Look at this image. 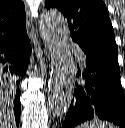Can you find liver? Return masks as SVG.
I'll return each instance as SVG.
<instances>
[{"label":"liver","instance_id":"liver-1","mask_svg":"<svg viewBox=\"0 0 125 128\" xmlns=\"http://www.w3.org/2000/svg\"><path fill=\"white\" fill-rule=\"evenodd\" d=\"M14 90L0 82V128H15L12 110V95Z\"/></svg>","mask_w":125,"mask_h":128}]
</instances>
